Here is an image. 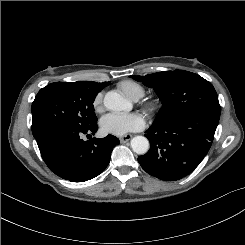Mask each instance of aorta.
<instances>
[{
  "label": "aorta",
  "instance_id": "aorta-1",
  "mask_svg": "<svg viewBox=\"0 0 245 245\" xmlns=\"http://www.w3.org/2000/svg\"><path fill=\"white\" fill-rule=\"evenodd\" d=\"M104 105L112 111H122L127 108V101L117 92L109 91L104 97ZM132 150L140 155L149 150V141L144 136H136L131 140Z\"/></svg>",
  "mask_w": 245,
  "mask_h": 245
}]
</instances>
